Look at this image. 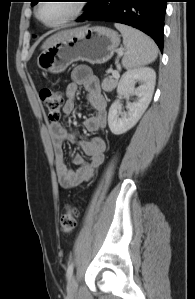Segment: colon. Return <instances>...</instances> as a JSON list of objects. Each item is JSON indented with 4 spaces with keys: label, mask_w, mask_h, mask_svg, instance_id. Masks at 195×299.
I'll list each match as a JSON object with an SVG mask.
<instances>
[{
    "label": "colon",
    "mask_w": 195,
    "mask_h": 299,
    "mask_svg": "<svg viewBox=\"0 0 195 299\" xmlns=\"http://www.w3.org/2000/svg\"><path fill=\"white\" fill-rule=\"evenodd\" d=\"M39 96L47 111L48 118L52 122H58L61 116V108L64 102L63 94L57 89L44 86L40 89ZM79 209L72 205L66 206L65 213L61 216L60 228L62 233L70 234L77 225Z\"/></svg>",
    "instance_id": "colon-1"
}]
</instances>
